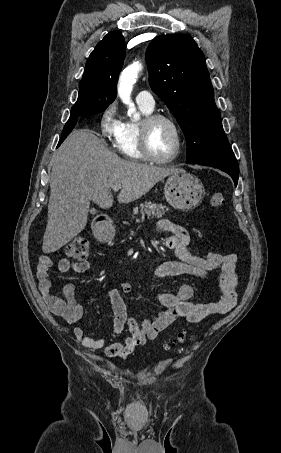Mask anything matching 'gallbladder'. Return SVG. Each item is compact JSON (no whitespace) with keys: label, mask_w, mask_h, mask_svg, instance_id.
Wrapping results in <instances>:
<instances>
[{"label":"gallbladder","mask_w":281,"mask_h":453,"mask_svg":"<svg viewBox=\"0 0 281 453\" xmlns=\"http://www.w3.org/2000/svg\"><path fill=\"white\" fill-rule=\"evenodd\" d=\"M91 214H95V212H97L96 208H91L90 210Z\"/></svg>","instance_id":"obj_1"}]
</instances>
